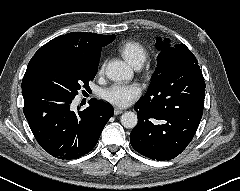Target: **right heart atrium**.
<instances>
[{
	"mask_svg": "<svg viewBox=\"0 0 240 191\" xmlns=\"http://www.w3.org/2000/svg\"><path fill=\"white\" fill-rule=\"evenodd\" d=\"M104 70V64L100 66L99 72H102Z\"/></svg>",
	"mask_w": 240,
	"mask_h": 191,
	"instance_id": "right-heart-atrium-1",
	"label": "right heart atrium"
}]
</instances>
